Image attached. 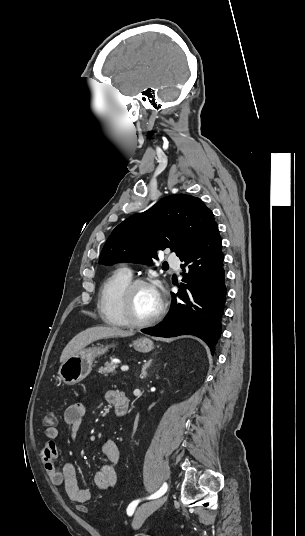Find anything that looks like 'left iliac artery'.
I'll use <instances>...</instances> for the list:
<instances>
[{"instance_id": "44dca946", "label": "left iliac artery", "mask_w": 305, "mask_h": 536, "mask_svg": "<svg viewBox=\"0 0 305 536\" xmlns=\"http://www.w3.org/2000/svg\"><path fill=\"white\" fill-rule=\"evenodd\" d=\"M167 488H168L167 484L164 483L163 486L160 488V490H158L155 494L151 495V496L148 497L147 499H156V498L162 496V495L167 491ZM138 502H139V500H137V501H133V502L128 506V508H127V514H128L129 516H131V515L133 514L134 509H135V507L137 506Z\"/></svg>"}]
</instances>
